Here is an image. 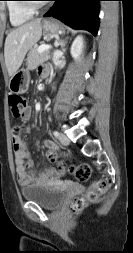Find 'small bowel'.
Instances as JSON below:
<instances>
[{
	"mask_svg": "<svg viewBox=\"0 0 133 253\" xmlns=\"http://www.w3.org/2000/svg\"><path fill=\"white\" fill-rule=\"evenodd\" d=\"M47 74V68L40 69V75L42 77H45ZM30 116L31 110L30 108H26L23 119L28 120ZM24 131L25 130L20 126H15L12 129V145L14 151L16 174L19 183L23 186L39 184L47 181L51 177H58L63 175L66 172V169L56 170L52 167H47L39 173L35 172L33 162L30 158L28 146L22 137ZM43 145L51 152L57 149L56 145L50 140H45Z\"/></svg>",
	"mask_w": 133,
	"mask_h": 253,
	"instance_id": "1",
	"label": "small bowel"
}]
</instances>
